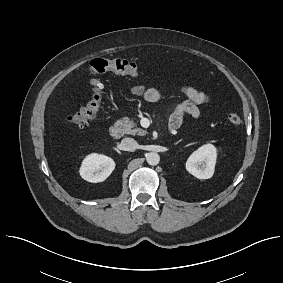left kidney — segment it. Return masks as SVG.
Returning a JSON list of instances; mask_svg holds the SVG:
<instances>
[{
    "instance_id": "1",
    "label": "left kidney",
    "mask_w": 283,
    "mask_h": 283,
    "mask_svg": "<svg viewBox=\"0 0 283 283\" xmlns=\"http://www.w3.org/2000/svg\"><path fill=\"white\" fill-rule=\"evenodd\" d=\"M217 151L212 144H206L194 151L186 162L187 171L199 179H209L214 174Z\"/></svg>"
}]
</instances>
